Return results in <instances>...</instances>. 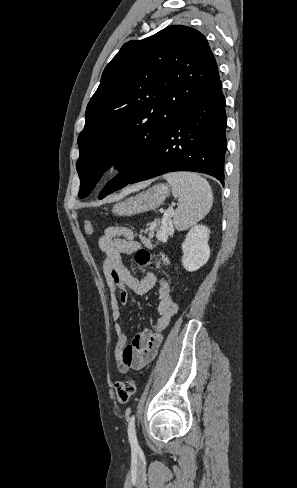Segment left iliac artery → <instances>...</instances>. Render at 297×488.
Instances as JSON below:
<instances>
[{
  "mask_svg": "<svg viewBox=\"0 0 297 488\" xmlns=\"http://www.w3.org/2000/svg\"><path fill=\"white\" fill-rule=\"evenodd\" d=\"M128 435H129V442H130L132 451L133 452L139 451L140 447L138 445V441H137V437H136L135 416L134 415L129 418Z\"/></svg>",
  "mask_w": 297,
  "mask_h": 488,
  "instance_id": "left-iliac-artery-1",
  "label": "left iliac artery"
}]
</instances>
